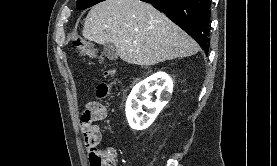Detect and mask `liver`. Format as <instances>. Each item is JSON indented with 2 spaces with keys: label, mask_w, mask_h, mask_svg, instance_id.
<instances>
[{
  "label": "liver",
  "mask_w": 277,
  "mask_h": 166,
  "mask_svg": "<svg viewBox=\"0 0 277 166\" xmlns=\"http://www.w3.org/2000/svg\"><path fill=\"white\" fill-rule=\"evenodd\" d=\"M82 33L97 44L113 43L123 61L141 66L199 51L187 33L140 0H105L93 6Z\"/></svg>",
  "instance_id": "liver-1"
}]
</instances>
